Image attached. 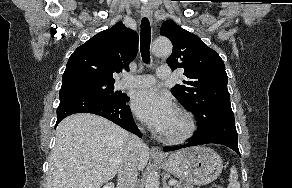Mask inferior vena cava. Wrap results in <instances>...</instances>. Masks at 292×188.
<instances>
[{
    "label": "inferior vena cava",
    "instance_id": "1",
    "mask_svg": "<svg viewBox=\"0 0 292 188\" xmlns=\"http://www.w3.org/2000/svg\"><path fill=\"white\" fill-rule=\"evenodd\" d=\"M144 146L137 136L130 135L127 155L118 168V183L116 188H135L138 174L137 155Z\"/></svg>",
    "mask_w": 292,
    "mask_h": 188
}]
</instances>
